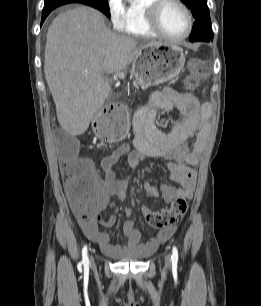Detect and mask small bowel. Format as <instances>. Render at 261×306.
Wrapping results in <instances>:
<instances>
[{"instance_id": "obj_1", "label": "small bowel", "mask_w": 261, "mask_h": 306, "mask_svg": "<svg viewBox=\"0 0 261 306\" xmlns=\"http://www.w3.org/2000/svg\"><path fill=\"white\" fill-rule=\"evenodd\" d=\"M178 108L183 114V120L175 124L169 132H163L156 126L159 114ZM210 113L209 104H200L196 97L190 93L178 92L171 88H164L152 95L147 106L140 109L133 122L132 145L125 143L105 156L101 161L103 176L98 175L89 159L77 158L79 161L89 163L93 168L92 189L94 197L87 209L77 214V221L84 235L99 245L104 254L110 257H119L126 253L149 254L156 247L169 240L175 228H164L147 242H142L141 233L132 221H125L121 228L126 238L124 245L114 244L109 234L99 230V225L110 228L115 224L116 217L111 215L100 218L112 198L120 201L125 199L126 182L117 177L113 166L118 160L127 155V163L131 168L139 166L145 159H161L166 161L169 170V179L179 183V187L162 183L160 187L150 181L144 182V189L151 197H159L160 191L163 200L167 203L177 197L190 198L194 189L196 166L203 154L206 142V127L204 120ZM195 137L192 147L187 141ZM68 162L63 158L61 168L64 173ZM143 212L148 211L146 207ZM128 216L131 212L125 208Z\"/></svg>"}]
</instances>
